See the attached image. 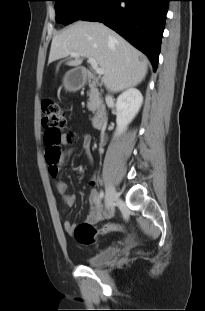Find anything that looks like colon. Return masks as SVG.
<instances>
[{
	"label": "colon",
	"instance_id": "1",
	"mask_svg": "<svg viewBox=\"0 0 205 311\" xmlns=\"http://www.w3.org/2000/svg\"><path fill=\"white\" fill-rule=\"evenodd\" d=\"M42 126L44 129L45 158L49 167H56L62 156L60 145L70 144L74 140L73 132H65L66 117L53 100L42 102ZM112 230H123V226L115 223H106L96 227L89 222L77 224L72 235L82 245H89L96 241L98 233H107Z\"/></svg>",
	"mask_w": 205,
	"mask_h": 311
}]
</instances>
